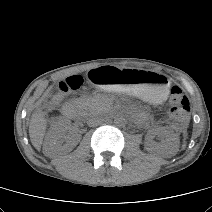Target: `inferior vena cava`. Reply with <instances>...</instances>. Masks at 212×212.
Instances as JSON below:
<instances>
[{
	"mask_svg": "<svg viewBox=\"0 0 212 212\" xmlns=\"http://www.w3.org/2000/svg\"><path fill=\"white\" fill-rule=\"evenodd\" d=\"M103 121V119L101 117H98V116H94V117H90L88 120H87V124L91 127H94V126H97L99 124H101Z\"/></svg>",
	"mask_w": 212,
	"mask_h": 212,
	"instance_id": "602c4592",
	"label": "inferior vena cava"
}]
</instances>
